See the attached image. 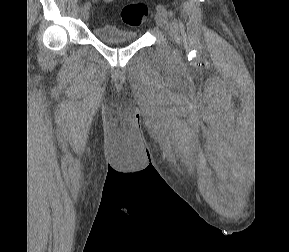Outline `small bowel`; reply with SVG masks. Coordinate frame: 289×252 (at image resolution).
<instances>
[{
  "label": "small bowel",
  "instance_id": "obj_1",
  "mask_svg": "<svg viewBox=\"0 0 289 252\" xmlns=\"http://www.w3.org/2000/svg\"><path fill=\"white\" fill-rule=\"evenodd\" d=\"M96 2H101L103 5L110 3L112 0H94Z\"/></svg>",
  "mask_w": 289,
  "mask_h": 252
}]
</instances>
